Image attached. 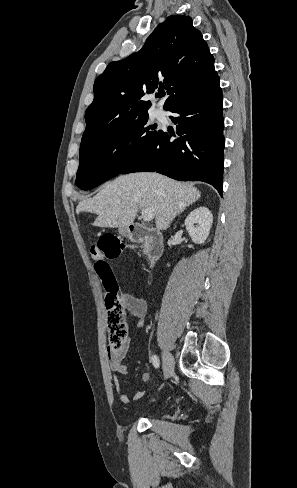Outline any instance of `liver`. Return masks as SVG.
Returning a JSON list of instances; mask_svg holds the SVG:
<instances>
[{
	"label": "liver",
	"mask_w": 297,
	"mask_h": 488,
	"mask_svg": "<svg viewBox=\"0 0 297 488\" xmlns=\"http://www.w3.org/2000/svg\"><path fill=\"white\" fill-rule=\"evenodd\" d=\"M201 197L197 188L159 173H132L107 182L92 198L79 202L77 214H97V227L127 228L139 208H153L158 229H166L186 206Z\"/></svg>",
	"instance_id": "obj_1"
}]
</instances>
